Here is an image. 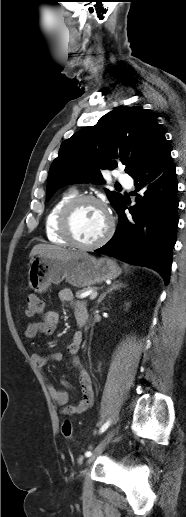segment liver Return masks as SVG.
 <instances>
[{"label": "liver", "instance_id": "6515ba94", "mask_svg": "<svg viewBox=\"0 0 186 517\" xmlns=\"http://www.w3.org/2000/svg\"><path fill=\"white\" fill-rule=\"evenodd\" d=\"M35 255H39L41 257H49V258H57V259H71L79 256L86 255L85 253L78 251H71L65 248L47 245V244H37L31 250L30 256L33 257Z\"/></svg>", "mask_w": 186, "mask_h": 517}]
</instances>
